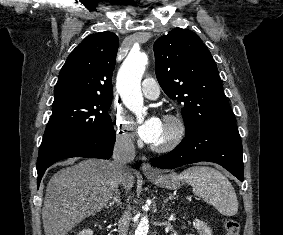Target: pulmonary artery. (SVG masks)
<instances>
[{
    "instance_id": "pulmonary-artery-1",
    "label": "pulmonary artery",
    "mask_w": 283,
    "mask_h": 235,
    "mask_svg": "<svg viewBox=\"0 0 283 235\" xmlns=\"http://www.w3.org/2000/svg\"><path fill=\"white\" fill-rule=\"evenodd\" d=\"M143 95L148 99H156L159 97L160 89L157 82L153 78H145L141 83Z\"/></svg>"
}]
</instances>
